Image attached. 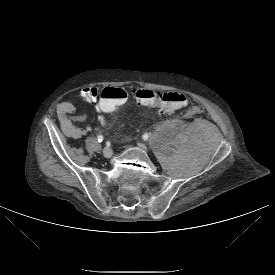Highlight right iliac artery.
Returning <instances> with one entry per match:
<instances>
[{
	"instance_id": "right-iliac-artery-1",
	"label": "right iliac artery",
	"mask_w": 275,
	"mask_h": 275,
	"mask_svg": "<svg viewBox=\"0 0 275 275\" xmlns=\"http://www.w3.org/2000/svg\"><path fill=\"white\" fill-rule=\"evenodd\" d=\"M103 139H104V137H103L102 135H98V136H97V140H98V142H102V141H103Z\"/></svg>"
}]
</instances>
